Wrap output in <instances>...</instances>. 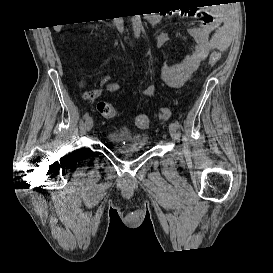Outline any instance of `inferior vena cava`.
<instances>
[{
  "mask_svg": "<svg viewBox=\"0 0 273 273\" xmlns=\"http://www.w3.org/2000/svg\"><path fill=\"white\" fill-rule=\"evenodd\" d=\"M114 23L117 30L122 33L124 31L123 17L114 18Z\"/></svg>",
  "mask_w": 273,
  "mask_h": 273,
  "instance_id": "obj_1",
  "label": "inferior vena cava"
}]
</instances>
